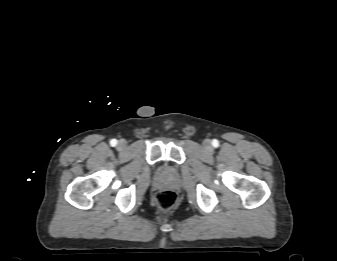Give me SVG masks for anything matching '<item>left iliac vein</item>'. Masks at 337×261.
Returning <instances> with one entry per match:
<instances>
[{
  "mask_svg": "<svg viewBox=\"0 0 337 261\" xmlns=\"http://www.w3.org/2000/svg\"><path fill=\"white\" fill-rule=\"evenodd\" d=\"M204 146L208 150L211 149V142H210V140H205L204 141Z\"/></svg>",
  "mask_w": 337,
  "mask_h": 261,
  "instance_id": "left-iliac-vein-1",
  "label": "left iliac vein"
}]
</instances>
